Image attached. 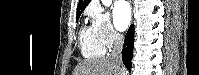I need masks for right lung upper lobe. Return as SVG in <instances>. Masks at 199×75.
I'll use <instances>...</instances> for the list:
<instances>
[{"mask_svg": "<svg viewBox=\"0 0 199 75\" xmlns=\"http://www.w3.org/2000/svg\"><path fill=\"white\" fill-rule=\"evenodd\" d=\"M90 0H79L78 8H77V15H81L84 11L86 6L89 4Z\"/></svg>", "mask_w": 199, "mask_h": 75, "instance_id": "cb5924a9", "label": "right lung upper lobe"}]
</instances>
